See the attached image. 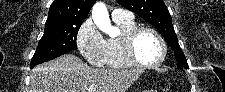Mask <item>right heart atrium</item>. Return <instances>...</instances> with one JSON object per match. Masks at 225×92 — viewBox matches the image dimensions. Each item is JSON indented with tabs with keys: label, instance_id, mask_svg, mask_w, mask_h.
<instances>
[{
	"label": "right heart atrium",
	"instance_id": "right-heart-atrium-1",
	"mask_svg": "<svg viewBox=\"0 0 225 92\" xmlns=\"http://www.w3.org/2000/svg\"><path fill=\"white\" fill-rule=\"evenodd\" d=\"M76 43L87 63L95 67H104L107 64L106 40L92 19L82 23L76 35Z\"/></svg>",
	"mask_w": 225,
	"mask_h": 92
}]
</instances>
